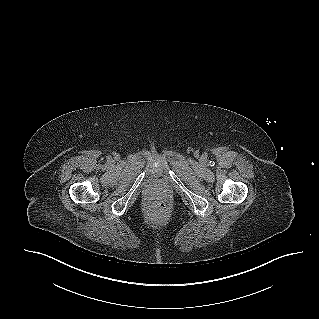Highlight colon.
I'll use <instances>...</instances> for the list:
<instances>
[{"label": "colon", "mask_w": 319, "mask_h": 319, "mask_svg": "<svg viewBox=\"0 0 319 319\" xmlns=\"http://www.w3.org/2000/svg\"><path fill=\"white\" fill-rule=\"evenodd\" d=\"M157 208H158L159 210H165L166 206H165L163 203H159V204L157 205Z\"/></svg>", "instance_id": "5ec220e1"}]
</instances>
